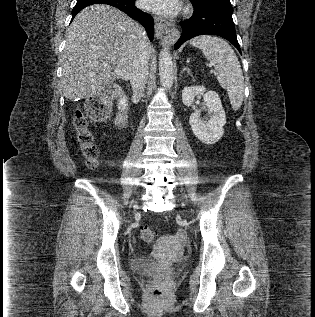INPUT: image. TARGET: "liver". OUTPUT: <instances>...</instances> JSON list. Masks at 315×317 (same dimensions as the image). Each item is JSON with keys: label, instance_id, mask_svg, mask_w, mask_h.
<instances>
[{"label": "liver", "instance_id": "1", "mask_svg": "<svg viewBox=\"0 0 315 317\" xmlns=\"http://www.w3.org/2000/svg\"><path fill=\"white\" fill-rule=\"evenodd\" d=\"M144 35L136 21L114 7L92 5L83 9L66 31L61 79L64 97L89 98L104 89L113 76L130 79ZM148 53L149 59L155 54L150 43Z\"/></svg>", "mask_w": 315, "mask_h": 317}]
</instances>
